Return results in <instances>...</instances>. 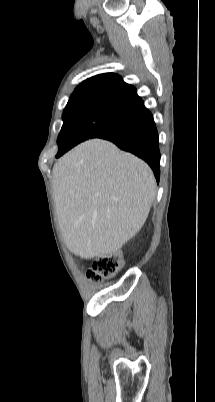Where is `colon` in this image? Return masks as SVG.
Masks as SVG:
<instances>
[{
    "label": "colon",
    "mask_w": 215,
    "mask_h": 402,
    "mask_svg": "<svg viewBox=\"0 0 215 402\" xmlns=\"http://www.w3.org/2000/svg\"><path fill=\"white\" fill-rule=\"evenodd\" d=\"M122 267V258L118 254L97 257L92 262L88 276L95 282L114 277Z\"/></svg>",
    "instance_id": "colon-1"
}]
</instances>
